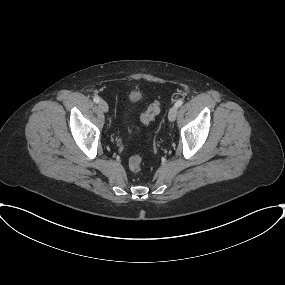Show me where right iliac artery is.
Segmentation results:
<instances>
[{"instance_id":"right-iliac-artery-1","label":"right iliac artery","mask_w":285,"mask_h":285,"mask_svg":"<svg viewBox=\"0 0 285 285\" xmlns=\"http://www.w3.org/2000/svg\"><path fill=\"white\" fill-rule=\"evenodd\" d=\"M93 100H94L95 103H99L100 102V98L98 96L94 97Z\"/></svg>"}]
</instances>
